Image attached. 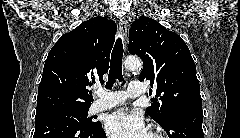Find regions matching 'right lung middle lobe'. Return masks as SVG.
Returning a JSON list of instances; mask_svg holds the SVG:
<instances>
[{"label": "right lung middle lobe", "instance_id": "1", "mask_svg": "<svg viewBox=\"0 0 240 138\" xmlns=\"http://www.w3.org/2000/svg\"><path fill=\"white\" fill-rule=\"evenodd\" d=\"M88 110L89 107H82V108H69L63 109L58 111H53L49 113L39 114L35 116V123L45 121L48 119H53L57 117H68L73 118L78 121L83 126H93L96 122H93L91 118H88Z\"/></svg>", "mask_w": 240, "mask_h": 138}]
</instances>
